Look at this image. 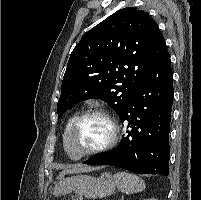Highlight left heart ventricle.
<instances>
[{"label":"left heart ventricle","instance_id":"left-heart-ventricle-1","mask_svg":"<svg viewBox=\"0 0 201 200\" xmlns=\"http://www.w3.org/2000/svg\"><path fill=\"white\" fill-rule=\"evenodd\" d=\"M110 127L101 117L92 116L82 120L71 137V146L75 154L103 145L109 138Z\"/></svg>","mask_w":201,"mask_h":200}]
</instances>
